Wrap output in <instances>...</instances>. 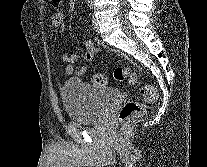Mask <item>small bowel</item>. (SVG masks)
<instances>
[{"label": "small bowel", "mask_w": 207, "mask_h": 167, "mask_svg": "<svg viewBox=\"0 0 207 167\" xmlns=\"http://www.w3.org/2000/svg\"><path fill=\"white\" fill-rule=\"evenodd\" d=\"M54 4H59L60 0H50ZM52 25L58 32L65 30L64 14L61 10H56L52 16ZM96 52V47L93 41L89 40L85 44L82 54H68L62 52V60L66 64L65 72L67 75L81 76L86 72L87 65L93 60Z\"/></svg>", "instance_id": "obj_1"}]
</instances>
